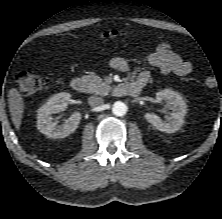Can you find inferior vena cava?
I'll return each mask as SVG.
<instances>
[{"label": "inferior vena cava", "instance_id": "inferior-vena-cava-1", "mask_svg": "<svg viewBox=\"0 0 222 219\" xmlns=\"http://www.w3.org/2000/svg\"><path fill=\"white\" fill-rule=\"evenodd\" d=\"M88 103L91 107H99L104 104V100L98 96H91L88 99Z\"/></svg>", "mask_w": 222, "mask_h": 219}]
</instances>
